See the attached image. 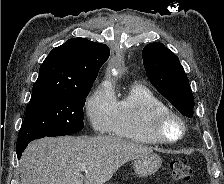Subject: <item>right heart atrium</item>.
Instances as JSON below:
<instances>
[{
  "label": "right heart atrium",
  "instance_id": "obj_1",
  "mask_svg": "<svg viewBox=\"0 0 224 184\" xmlns=\"http://www.w3.org/2000/svg\"><path fill=\"white\" fill-rule=\"evenodd\" d=\"M115 99L113 91L105 84L99 85L87 98L86 115L96 132L106 133L110 131Z\"/></svg>",
  "mask_w": 224,
  "mask_h": 184
}]
</instances>
